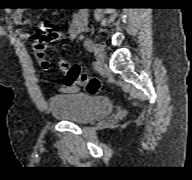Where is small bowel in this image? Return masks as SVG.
<instances>
[{
  "mask_svg": "<svg viewBox=\"0 0 192 180\" xmlns=\"http://www.w3.org/2000/svg\"><path fill=\"white\" fill-rule=\"evenodd\" d=\"M24 14L25 13L23 10H17L13 16L14 23L17 25L24 24L25 23ZM86 20H87V14L84 11L78 12L73 16V19L71 21L69 31H68L69 38L71 40H75L77 38V36L84 30ZM20 37L24 41H29V40H31L32 35L28 32H20ZM62 89L64 92H68V93L78 91L77 86H71V85H66Z\"/></svg>",
  "mask_w": 192,
  "mask_h": 180,
  "instance_id": "1",
  "label": "small bowel"
}]
</instances>
